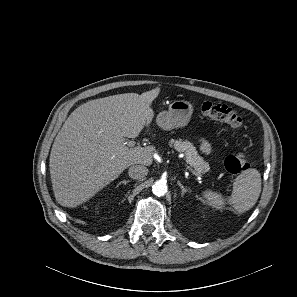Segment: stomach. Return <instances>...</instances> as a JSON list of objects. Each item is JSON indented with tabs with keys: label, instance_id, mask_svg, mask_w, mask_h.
I'll return each mask as SVG.
<instances>
[{
	"label": "stomach",
	"instance_id": "obj_1",
	"mask_svg": "<svg viewBox=\"0 0 297 297\" xmlns=\"http://www.w3.org/2000/svg\"><path fill=\"white\" fill-rule=\"evenodd\" d=\"M193 113V105L189 101H173L168 111H162L157 115L156 123L163 130L184 127L190 121Z\"/></svg>",
	"mask_w": 297,
	"mask_h": 297
}]
</instances>
